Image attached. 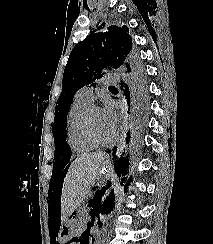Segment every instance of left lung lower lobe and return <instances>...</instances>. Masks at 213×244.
I'll return each mask as SVG.
<instances>
[{
    "mask_svg": "<svg viewBox=\"0 0 213 244\" xmlns=\"http://www.w3.org/2000/svg\"><path fill=\"white\" fill-rule=\"evenodd\" d=\"M130 110V106L128 109V113ZM130 117H131V125L128 133H127V144L129 143V141L131 140V144H133V146L138 147L141 143V136L146 128V123H147V118H148V114H147V109L145 108H139V107H133L131 109L130 112ZM130 135H131V139H130ZM129 147V146H128ZM107 152H110V150H108ZM116 148L113 150L112 154L113 157L116 158ZM123 155H125V152H123ZM129 156V154L127 155ZM129 163H128V158L127 157H122L116 162L115 164V168L116 171L118 173V176L120 177L121 174L124 175L127 171V167H128ZM123 182V179H122ZM103 195V194H102ZM95 197L93 198L92 202H91V206L93 207V209L96 211V215L98 213V211H100V201H101V196ZM99 205V206H98Z\"/></svg>",
    "mask_w": 213,
    "mask_h": 244,
    "instance_id": "1",
    "label": "left lung lower lobe"
}]
</instances>
